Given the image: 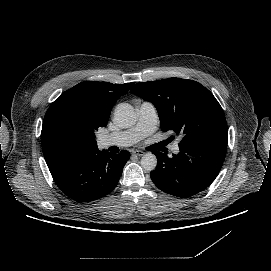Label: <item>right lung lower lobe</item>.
I'll use <instances>...</instances> for the list:
<instances>
[{
	"mask_svg": "<svg viewBox=\"0 0 271 271\" xmlns=\"http://www.w3.org/2000/svg\"><path fill=\"white\" fill-rule=\"evenodd\" d=\"M129 158L125 150L112 154L95 148L64 153L47 165L65 195L89 202L106 196L116 187Z\"/></svg>",
	"mask_w": 271,
	"mask_h": 271,
	"instance_id": "obj_1",
	"label": "right lung lower lobe"
}]
</instances>
